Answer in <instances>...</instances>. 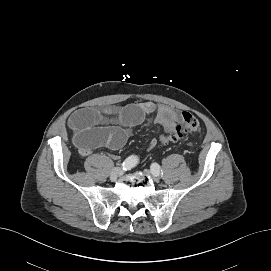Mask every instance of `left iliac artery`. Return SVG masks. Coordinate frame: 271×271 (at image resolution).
I'll list each match as a JSON object with an SVG mask.
<instances>
[{"mask_svg": "<svg viewBox=\"0 0 271 271\" xmlns=\"http://www.w3.org/2000/svg\"><path fill=\"white\" fill-rule=\"evenodd\" d=\"M151 172H152L153 174L160 175V173H161V168H160V166H159L157 163H153V164L151 165Z\"/></svg>", "mask_w": 271, "mask_h": 271, "instance_id": "obj_1", "label": "left iliac artery"}]
</instances>
